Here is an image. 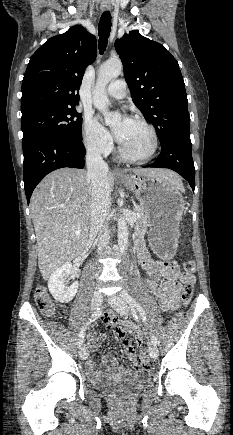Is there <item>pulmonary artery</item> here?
Listing matches in <instances>:
<instances>
[{
	"label": "pulmonary artery",
	"instance_id": "obj_1",
	"mask_svg": "<svg viewBox=\"0 0 233 435\" xmlns=\"http://www.w3.org/2000/svg\"><path fill=\"white\" fill-rule=\"evenodd\" d=\"M125 91L126 83L121 79L111 82L106 89L107 95L113 99H122Z\"/></svg>",
	"mask_w": 233,
	"mask_h": 435
}]
</instances>
